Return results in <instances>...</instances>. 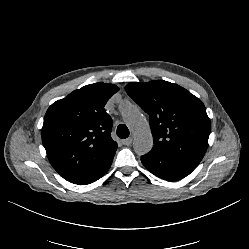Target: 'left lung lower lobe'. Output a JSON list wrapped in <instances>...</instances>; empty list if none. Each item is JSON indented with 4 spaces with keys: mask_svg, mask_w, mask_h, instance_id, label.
<instances>
[{
    "mask_svg": "<svg viewBox=\"0 0 249 249\" xmlns=\"http://www.w3.org/2000/svg\"><path fill=\"white\" fill-rule=\"evenodd\" d=\"M143 165L154 175L168 181H176L189 175L196 164L187 163L159 153L141 157Z\"/></svg>",
    "mask_w": 249,
    "mask_h": 249,
    "instance_id": "1",
    "label": "left lung lower lobe"
}]
</instances>
